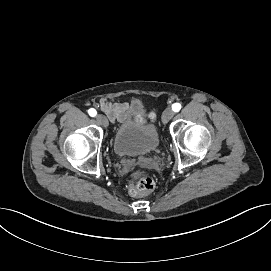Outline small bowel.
<instances>
[{
    "instance_id": "1",
    "label": "small bowel",
    "mask_w": 271,
    "mask_h": 271,
    "mask_svg": "<svg viewBox=\"0 0 271 271\" xmlns=\"http://www.w3.org/2000/svg\"><path fill=\"white\" fill-rule=\"evenodd\" d=\"M99 106L111 122H123L126 120L132 106H138V103L111 102L107 99H101ZM142 110H144L143 112H145L146 118L154 119V114L152 112H147L145 109Z\"/></svg>"
}]
</instances>
